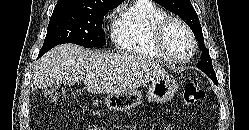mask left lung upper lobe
<instances>
[{"label":"left lung upper lobe","mask_w":249,"mask_h":130,"mask_svg":"<svg viewBox=\"0 0 249 130\" xmlns=\"http://www.w3.org/2000/svg\"><path fill=\"white\" fill-rule=\"evenodd\" d=\"M155 2L177 14L191 28L202 50L201 60L198 62L197 68L203 71L215 84H217L218 81L212 66V60L209 51L204 44L202 27L190 0H155Z\"/></svg>","instance_id":"1"}]
</instances>
